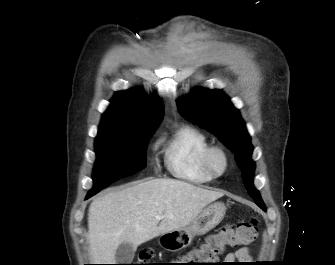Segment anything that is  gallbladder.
Masks as SVG:
<instances>
[{
  "label": "gallbladder",
  "mask_w": 335,
  "mask_h": 265,
  "mask_svg": "<svg viewBox=\"0 0 335 265\" xmlns=\"http://www.w3.org/2000/svg\"><path fill=\"white\" fill-rule=\"evenodd\" d=\"M135 246L131 243H121L115 253L117 264H130L135 255Z\"/></svg>",
  "instance_id": "obj_1"
}]
</instances>
